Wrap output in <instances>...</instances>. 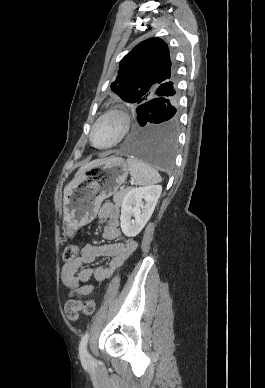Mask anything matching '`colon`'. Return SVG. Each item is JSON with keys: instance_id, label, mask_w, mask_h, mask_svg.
I'll return each instance as SVG.
<instances>
[{"instance_id": "obj_1", "label": "colon", "mask_w": 265, "mask_h": 388, "mask_svg": "<svg viewBox=\"0 0 265 388\" xmlns=\"http://www.w3.org/2000/svg\"><path fill=\"white\" fill-rule=\"evenodd\" d=\"M79 249L76 245L71 244L68 245L63 252V259L66 262H72L78 257ZM79 303L81 305V310L83 313L90 315L94 312L95 304L92 300L82 299V297H78Z\"/></svg>"}]
</instances>
